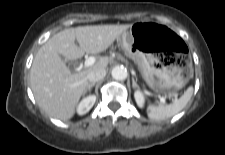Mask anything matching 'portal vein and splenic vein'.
I'll use <instances>...</instances> for the list:
<instances>
[{"mask_svg":"<svg viewBox=\"0 0 225 155\" xmlns=\"http://www.w3.org/2000/svg\"><path fill=\"white\" fill-rule=\"evenodd\" d=\"M95 63V57L91 56V57H88L85 62H84V66L85 67H89V66H92L93 64ZM159 100L161 103L165 104L166 103V100L164 97H159Z\"/></svg>","mask_w":225,"mask_h":155,"instance_id":"18ae733b","label":"portal vein and splenic vein"}]
</instances>
